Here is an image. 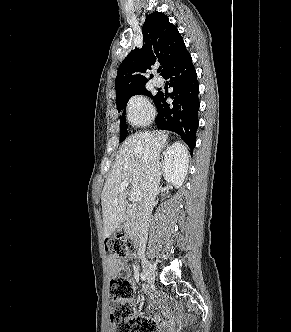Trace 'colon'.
Masks as SVG:
<instances>
[{"label":"colon","instance_id":"1","mask_svg":"<svg viewBox=\"0 0 291 332\" xmlns=\"http://www.w3.org/2000/svg\"><path fill=\"white\" fill-rule=\"evenodd\" d=\"M106 248L116 257L132 255L134 246L130 237L120 233L106 239ZM111 332H159L155 320L137 315L133 302V286L124 277L110 280Z\"/></svg>","mask_w":291,"mask_h":332}]
</instances>
